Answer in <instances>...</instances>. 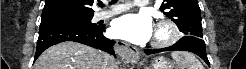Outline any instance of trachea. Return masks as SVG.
I'll use <instances>...</instances> for the list:
<instances>
[{
    "mask_svg": "<svg viewBox=\"0 0 246 69\" xmlns=\"http://www.w3.org/2000/svg\"><path fill=\"white\" fill-rule=\"evenodd\" d=\"M116 2H117V0H112V2H110L109 4H113V3H116ZM98 5L100 7H103L104 6V4L102 2H99Z\"/></svg>",
    "mask_w": 246,
    "mask_h": 69,
    "instance_id": "trachea-1",
    "label": "trachea"
}]
</instances>
